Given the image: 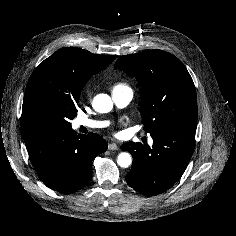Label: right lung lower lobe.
I'll return each instance as SVG.
<instances>
[{
  "label": "right lung lower lobe",
  "instance_id": "obj_1",
  "mask_svg": "<svg viewBox=\"0 0 236 236\" xmlns=\"http://www.w3.org/2000/svg\"><path fill=\"white\" fill-rule=\"evenodd\" d=\"M32 164L49 188L70 194L92 177V161L107 150L95 133L80 137L72 129L54 134H34L24 139Z\"/></svg>",
  "mask_w": 236,
  "mask_h": 236
}]
</instances>
